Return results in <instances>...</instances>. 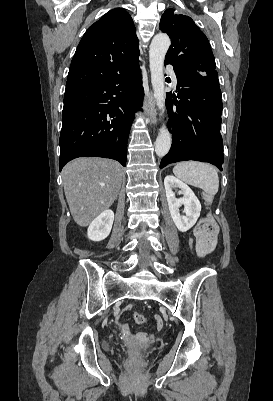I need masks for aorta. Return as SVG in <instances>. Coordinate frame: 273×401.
<instances>
[{"mask_svg": "<svg viewBox=\"0 0 273 401\" xmlns=\"http://www.w3.org/2000/svg\"><path fill=\"white\" fill-rule=\"evenodd\" d=\"M168 35L159 33L152 39L149 50V66L151 72V83L154 91V98L158 108L164 112L165 84H164V59L170 46ZM171 148V134L165 125L159 129L155 142V152L159 157L165 156Z\"/></svg>", "mask_w": 273, "mask_h": 401, "instance_id": "762f6f07", "label": "aorta"}]
</instances>
